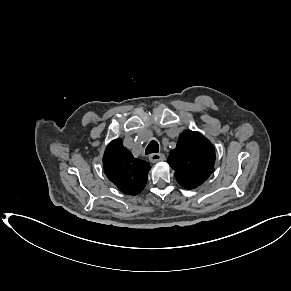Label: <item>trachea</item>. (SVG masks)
Returning <instances> with one entry per match:
<instances>
[{
	"instance_id": "obj_1",
	"label": "trachea",
	"mask_w": 291,
	"mask_h": 291,
	"mask_svg": "<svg viewBox=\"0 0 291 291\" xmlns=\"http://www.w3.org/2000/svg\"><path fill=\"white\" fill-rule=\"evenodd\" d=\"M159 151V145L156 141H151L149 143V145L146 147V154H150V153H158Z\"/></svg>"
}]
</instances>
